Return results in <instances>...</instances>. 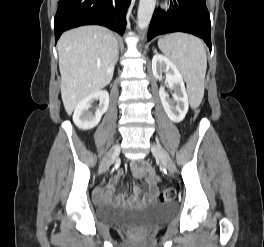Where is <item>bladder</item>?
<instances>
[{
	"label": "bladder",
	"mask_w": 264,
	"mask_h": 247,
	"mask_svg": "<svg viewBox=\"0 0 264 247\" xmlns=\"http://www.w3.org/2000/svg\"><path fill=\"white\" fill-rule=\"evenodd\" d=\"M173 210L166 204L146 207H97V220L103 224L122 228H144L168 221Z\"/></svg>",
	"instance_id": "bladder-1"
}]
</instances>
